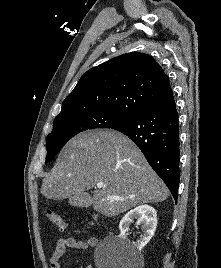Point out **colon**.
<instances>
[{
  "instance_id": "colon-1",
  "label": "colon",
  "mask_w": 221,
  "mask_h": 268,
  "mask_svg": "<svg viewBox=\"0 0 221 268\" xmlns=\"http://www.w3.org/2000/svg\"><path fill=\"white\" fill-rule=\"evenodd\" d=\"M45 215L48 218V220L57 228H59L61 231L65 230L67 228V223L63 218L55 213L52 210H46ZM95 222H99L98 218H94Z\"/></svg>"
}]
</instances>
